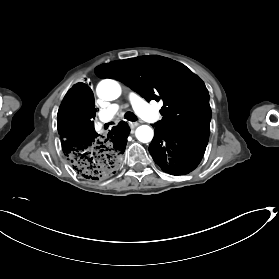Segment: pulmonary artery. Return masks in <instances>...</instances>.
I'll use <instances>...</instances> for the list:
<instances>
[{
	"label": "pulmonary artery",
	"instance_id": "pulmonary-artery-1",
	"mask_svg": "<svg viewBox=\"0 0 279 279\" xmlns=\"http://www.w3.org/2000/svg\"><path fill=\"white\" fill-rule=\"evenodd\" d=\"M110 110L112 113L117 114L121 111V107L118 104L113 103V104H110Z\"/></svg>",
	"mask_w": 279,
	"mask_h": 279
}]
</instances>
